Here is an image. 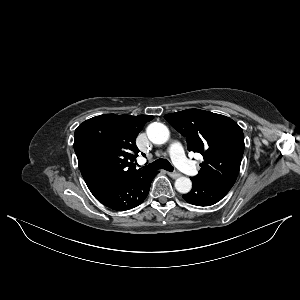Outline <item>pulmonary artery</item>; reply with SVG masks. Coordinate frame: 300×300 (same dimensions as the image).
Wrapping results in <instances>:
<instances>
[{
	"instance_id": "pulmonary-artery-1",
	"label": "pulmonary artery",
	"mask_w": 300,
	"mask_h": 300,
	"mask_svg": "<svg viewBox=\"0 0 300 300\" xmlns=\"http://www.w3.org/2000/svg\"><path fill=\"white\" fill-rule=\"evenodd\" d=\"M168 153L175 165L184 173L190 176L198 174L197 166L186 158L183 147L180 143H172L168 149Z\"/></svg>"
}]
</instances>
